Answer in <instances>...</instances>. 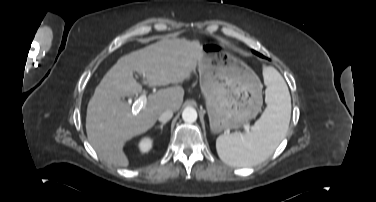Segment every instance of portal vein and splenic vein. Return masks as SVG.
<instances>
[{
	"instance_id": "1",
	"label": "portal vein and splenic vein",
	"mask_w": 376,
	"mask_h": 202,
	"mask_svg": "<svg viewBox=\"0 0 376 202\" xmlns=\"http://www.w3.org/2000/svg\"><path fill=\"white\" fill-rule=\"evenodd\" d=\"M147 103V97L145 94H142L139 96L138 99L135 100L134 104H133V109H140L141 107H143L144 105H146Z\"/></svg>"
}]
</instances>
